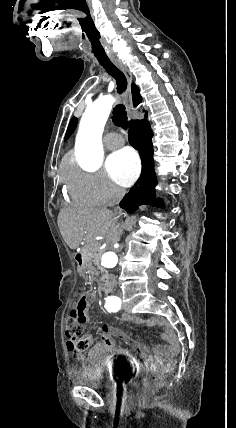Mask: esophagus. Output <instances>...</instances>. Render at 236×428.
<instances>
[{
  "instance_id": "obj_1",
  "label": "esophagus",
  "mask_w": 236,
  "mask_h": 428,
  "mask_svg": "<svg viewBox=\"0 0 236 428\" xmlns=\"http://www.w3.org/2000/svg\"><path fill=\"white\" fill-rule=\"evenodd\" d=\"M113 63L114 65H116V67H118L124 73L125 77L128 80V87L124 94V102H125L127 111H129L133 108L131 89H130L131 82H132V73L129 71L128 67L124 65L122 62L114 61Z\"/></svg>"
}]
</instances>
